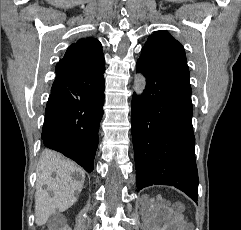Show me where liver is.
<instances>
[{"mask_svg": "<svg viewBox=\"0 0 241 230\" xmlns=\"http://www.w3.org/2000/svg\"><path fill=\"white\" fill-rule=\"evenodd\" d=\"M84 180V171L72 161L55 151L44 150L38 165L37 186L40 190L35 202L37 225L45 224L57 210L63 212L70 208L77 200L76 193L83 189ZM44 185L47 186V191L53 193L52 197L41 190Z\"/></svg>", "mask_w": 241, "mask_h": 230, "instance_id": "obj_1", "label": "liver"}]
</instances>
